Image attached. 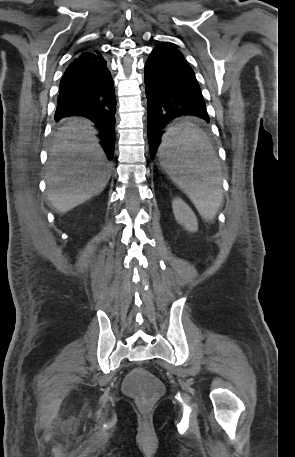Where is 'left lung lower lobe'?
Listing matches in <instances>:
<instances>
[{"label":"left lung lower lobe","instance_id":"left-lung-lower-lobe-1","mask_svg":"<svg viewBox=\"0 0 295 457\" xmlns=\"http://www.w3.org/2000/svg\"><path fill=\"white\" fill-rule=\"evenodd\" d=\"M145 83L150 157L154 159L171 120L196 116L209 122V116L195 73L174 46L163 43L151 51L145 64Z\"/></svg>","mask_w":295,"mask_h":457}]
</instances>
